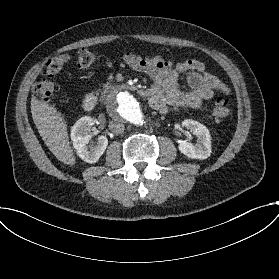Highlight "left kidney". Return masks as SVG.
Here are the masks:
<instances>
[{
    "label": "left kidney",
    "mask_w": 279,
    "mask_h": 279,
    "mask_svg": "<svg viewBox=\"0 0 279 279\" xmlns=\"http://www.w3.org/2000/svg\"><path fill=\"white\" fill-rule=\"evenodd\" d=\"M182 125L197 137V142L193 144L181 140L178 145L180 152L191 159H207L211 155V135L208 128L192 119H185Z\"/></svg>",
    "instance_id": "left-kidney-1"
}]
</instances>
